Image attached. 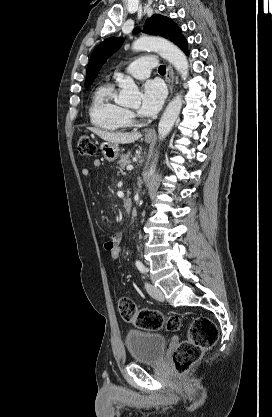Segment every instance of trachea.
I'll return each instance as SVG.
<instances>
[{
	"instance_id": "1",
	"label": "trachea",
	"mask_w": 272,
	"mask_h": 417,
	"mask_svg": "<svg viewBox=\"0 0 272 417\" xmlns=\"http://www.w3.org/2000/svg\"><path fill=\"white\" fill-rule=\"evenodd\" d=\"M158 71H159V73H161V74H165V72H166V67H165L164 65H161V66L159 67Z\"/></svg>"
}]
</instances>
